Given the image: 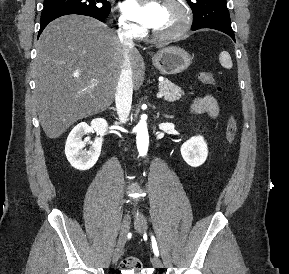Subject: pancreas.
I'll list each match as a JSON object with an SVG mask.
<instances>
[{
    "instance_id": "pancreas-1",
    "label": "pancreas",
    "mask_w": 289,
    "mask_h": 274,
    "mask_svg": "<svg viewBox=\"0 0 289 274\" xmlns=\"http://www.w3.org/2000/svg\"><path fill=\"white\" fill-rule=\"evenodd\" d=\"M159 92L164 94V99L167 101L179 100L181 95L184 94L180 87L168 79H165L159 83Z\"/></svg>"
}]
</instances>
